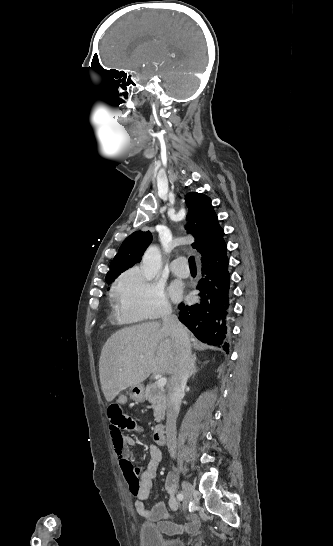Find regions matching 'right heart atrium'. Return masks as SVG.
I'll return each mask as SVG.
<instances>
[{
    "instance_id": "1",
    "label": "right heart atrium",
    "mask_w": 333,
    "mask_h": 546,
    "mask_svg": "<svg viewBox=\"0 0 333 546\" xmlns=\"http://www.w3.org/2000/svg\"><path fill=\"white\" fill-rule=\"evenodd\" d=\"M117 315L124 323L167 317L171 306L162 285L148 280L139 268L124 272L116 282Z\"/></svg>"
}]
</instances>
